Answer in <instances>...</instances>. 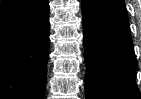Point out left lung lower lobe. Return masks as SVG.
<instances>
[{
  "label": "left lung lower lobe",
  "instance_id": "left-lung-lower-lobe-1",
  "mask_svg": "<svg viewBox=\"0 0 141 99\" xmlns=\"http://www.w3.org/2000/svg\"><path fill=\"white\" fill-rule=\"evenodd\" d=\"M86 99H140L124 0H83Z\"/></svg>",
  "mask_w": 141,
  "mask_h": 99
}]
</instances>
